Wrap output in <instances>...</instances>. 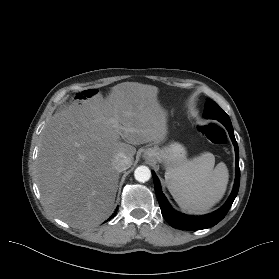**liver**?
Wrapping results in <instances>:
<instances>
[{
	"label": "liver",
	"mask_w": 279,
	"mask_h": 279,
	"mask_svg": "<svg viewBox=\"0 0 279 279\" xmlns=\"http://www.w3.org/2000/svg\"><path fill=\"white\" fill-rule=\"evenodd\" d=\"M157 94L155 86L124 82L105 99L97 94L52 116L36 160L37 184L50 213L77 229L95 227L110 214L119 182L115 156L124 153L133 162V145L166 137L168 113Z\"/></svg>",
	"instance_id": "6515ba94"
}]
</instances>
